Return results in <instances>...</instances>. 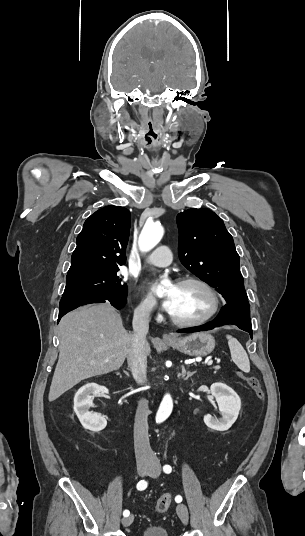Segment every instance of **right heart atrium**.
I'll list each match as a JSON object with an SVG mask.
<instances>
[{
  "label": "right heart atrium",
  "mask_w": 305,
  "mask_h": 536,
  "mask_svg": "<svg viewBox=\"0 0 305 536\" xmlns=\"http://www.w3.org/2000/svg\"><path fill=\"white\" fill-rule=\"evenodd\" d=\"M154 309V302L149 298H143L138 302L135 313L139 317H149L154 312Z\"/></svg>",
  "instance_id": "d8ad5b80"
}]
</instances>
